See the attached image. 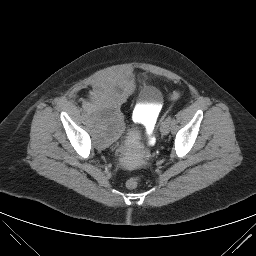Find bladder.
Returning a JSON list of instances; mask_svg holds the SVG:
<instances>
[{"label":"bladder","instance_id":"1","mask_svg":"<svg viewBox=\"0 0 256 256\" xmlns=\"http://www.w3.org/2000/svg\"><path fill=\"white\" fill-rule=\"evenodd\" d=\"M133 90V82L122 76H110L97 82L94 95L87 103L93 135L97 144L108 147L123 134L124 119L120 103L128 98ZM141 113L147 125L150 118L163 103L162 92L155 86L142 88Z\"/></svg>","mask_w":256,"mask_h":256}]
</instances>
